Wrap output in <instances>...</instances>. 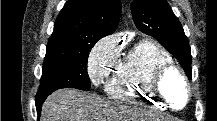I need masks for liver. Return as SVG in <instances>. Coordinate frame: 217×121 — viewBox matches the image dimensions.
<instances>
[{
    "label": "liver",
    "mask_w": 217,
    "mask_h": 121,
    "mask_svg": "<svg viewBox=\"0 0 217 121\" xmlns=\"http://www.w3.org/2000/svg\"><path fill=\"white\" fill-rule=\"evenodd\" d=\"M141 114L76 89H61L45 100L40 121H135Z\"/></svg>",
    "instance_id": "liver-1"
}]
</instances>
